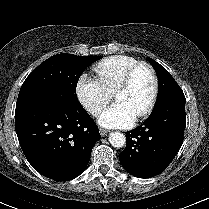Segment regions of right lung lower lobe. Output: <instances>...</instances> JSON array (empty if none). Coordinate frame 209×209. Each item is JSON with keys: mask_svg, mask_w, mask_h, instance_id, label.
I'll use <instances>...</instances> for the list:
<instances>
[{"mask_svg": "<svg viewBox=\"0 0 209 209\" xmlns=\"http://www.w3.org/2000/svg\"><path fill=\"white\" fill-rule=\"evenodd\" d=\"M15 126L28 162L55 181L79 176L101 138L80 102L59 92L43 94L17 107Z\"/></svg>", "mask_w": 209, "mask_h": 209, "instance_id": "1", "label": "right lung lower lobe"}]
</instances>
